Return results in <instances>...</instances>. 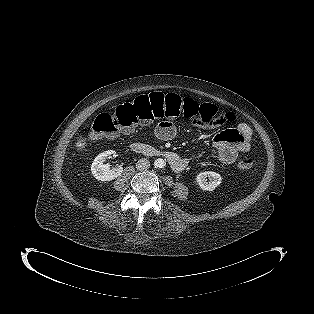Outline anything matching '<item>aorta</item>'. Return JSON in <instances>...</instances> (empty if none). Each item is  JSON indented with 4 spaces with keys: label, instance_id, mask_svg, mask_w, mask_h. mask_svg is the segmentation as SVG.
I'll use <instances>...</instances> for the list:
<instances>
[{
    "label": "aorta",
    "instance_id": "1",
    "mask_svg": "<svg viewBox=\"0 0 314 314\" xmlns=\"http://www.w3.org/2000/svg\"><path fill=\"white\" fill-rule=\"evenodd\" d=\"M166 165V161L162 158H158L154 161V166L156 168H163Z\"/></svg>",
    "mask_w": 314,
    "mask_h": 314
}]
</instances>
